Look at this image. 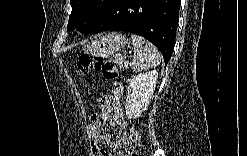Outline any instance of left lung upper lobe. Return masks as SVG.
Masks as SVG:
<instances>
[{"label": "left lung upper lobe", "mask_w": 247, "mask_h": 156, "mask_svg": "<svg viewBox=\"0 0 247 156\" xmlns=\"http://www.w3.org/2000/svg\"><path fill=\"white\" fill-rule=\"evenodd\" d=\"M114 0H70L72 12L69 16L68 30L78 27L81 22L88 21L81 30L89 34L93 26L107 13Z\"/></svg>", "instance_id": "1"}]
</instances>
